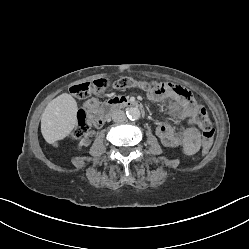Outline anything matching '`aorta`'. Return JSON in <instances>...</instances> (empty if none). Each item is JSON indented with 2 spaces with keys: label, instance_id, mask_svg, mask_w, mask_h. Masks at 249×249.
Here are the masks:
<instances>
[{
  "label": "aorta",
  "instance_id": "1",
  "mask_svg": "<svg viewBox=\"0 0 249 249\" xmlns=\"http://www.w3.org/2000/svg\"><path fill=\"white\" fill-rule=\"evenodd\" d=\"M126 115L130 120H137L140 117V110L137 107H130L126 110Z\"/></svg>",
  "mask_w": 249,
  "mask_h": 249
}]
</instances>
